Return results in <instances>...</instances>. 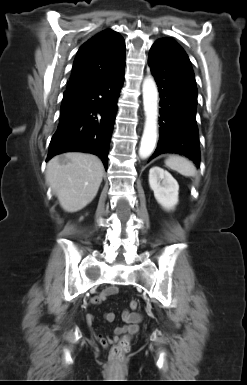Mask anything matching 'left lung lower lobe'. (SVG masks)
I'll return each mask as SVG.
<instances>
[{
	"mask_svg": "<svg viewBox=\"0 0 247 385\" xmlns=\"http://www.w3.org/2000/svg\"><path fill=\"white\" fill-rule=\"evenodd\" d=\"M148 64L161 98L159 142L149 161L161 153H178L199 166L197 87L190 60L179 44L163 38L151 47Z\"/></svg>",
	"mask_w": 247,
	"mask_h": 385,
	"instance_id": "left-lung-lower-lobe-1",
	"label": "left lung lower lobe"
}]
</instances>
